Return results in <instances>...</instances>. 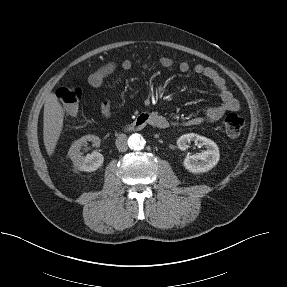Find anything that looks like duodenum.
I'll return each mask as SVG.
<instances>
[{"label": "duodenum", "mask_w": 287, "mask_h": 287, "mask_svg": "<svg viewBox=\"0 0 287 287\" xmlns=\"http://www.w3.org/2000/svg\"><path fill=\"white\" fill-rule=\"evenodd\" d=\"M156 119L154 116L148 113L140 114L136 119H134L130 124L126 126L127 130L136 131L141 130L148 125L155 126Z\"/></svg>", "instance_id": "duodenum-1"}]
</instances>
